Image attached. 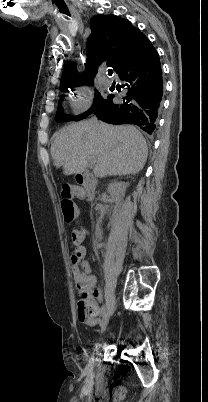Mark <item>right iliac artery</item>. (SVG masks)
I'll list each match as a JSON object with an SVG mask.
<instances>
[{"label": "right iliac artery", "instance_id": "82829eb1", "mask_svg": "<svg viewBox=\"0 0 208 402\" xmlns=\"http://www.w3.org/2000/svg\"><path fill=\"white\" fill-rule=\"evenodd\" d=\"M101 310H102V318H104L106 316V308L104 305L102 306Z\"/></svg>", "mask_w": 208, "mask_h": 402}]
</instances>
